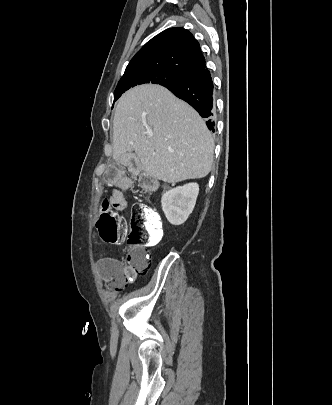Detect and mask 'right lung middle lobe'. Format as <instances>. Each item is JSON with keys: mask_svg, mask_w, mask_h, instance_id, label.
Returning <instances> with one entry per match:
<instances>
[{"mask_svg": "<svg viewBox=\"0 0 332 405\" xmlns=\"http://www.w3.org/2000/svg\"><path fill=\"white\" fill-rule=\"evenodd\" d=\"M183 77L177 74L165 73L157 70H139L126 73L122 76L114 92V102L126 90L145 83L160 84L164 87L177 83Z\"/></svg>", "mask_w": 332, "mask_h": 405, "instance_id": "dd1d6c3e", "label": "right lung middle lobe"}]
</instances>
